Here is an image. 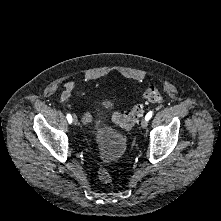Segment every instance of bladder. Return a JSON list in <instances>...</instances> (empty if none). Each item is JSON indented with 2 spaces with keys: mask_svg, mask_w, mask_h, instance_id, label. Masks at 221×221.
Listing matches in <instances>:
<instances>
[{
  "mask_svg": "<svg viewBox=\"0 0 221 221\" xmlns=\"http://www.w3.org/2000/svg\"><path fill=\"white\" fill-rule=\"evenodd\" d=\"M100 130L97 141L108 144L110 148L106 162L112 164L122 159L127 152V137L123 134L110 132L106 125H100Z\"/></svg>",
  "mask_w": 221,
  "mask_h": 221,
  "instance_id": "1",
  "label": "bladder"
}]
</instances>
